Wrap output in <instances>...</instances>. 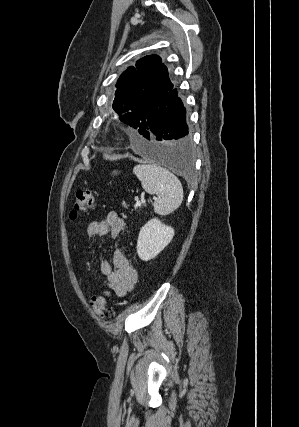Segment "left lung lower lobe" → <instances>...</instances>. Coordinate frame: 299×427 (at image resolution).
I'll return each instance as SVG.
<instances>
[{"label":"left lung lower lobe","mask_w":299,"mask_h":427,"mask_svg":"<svg viewBox=\"0 0 299 427\" xmlns=\"http://www.w3.org/2000/svg\"><path fill=\"white\" fill-rule=\"evenodd\" d=\"M132 127L150 142L138 150L150 160L187 173L191 170V134L186 123V110L177 90L153 106L140 108Z\"/></svg>","instance_id":"obj_1"}]
</instances>
